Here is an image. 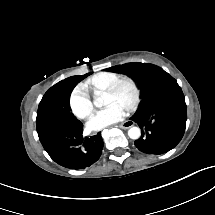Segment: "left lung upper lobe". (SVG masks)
Listing matches in <instances>:
<instances>
[{
    "label": "left lung upper lobe",
    "mask_w": 215,
    "mask_h": 215,
    "mask_svg": "<svg viewBox=\"0 0 215 215\" xmlns=\"http://www.w3.org/2000/svg\"><path fill=\"white\" fill-rule=\"evenodd\" d=\"M107 70L131 75L141 88L142 101L131 118L142 129L135 146L147 154H163L182 139L187 113L183 92L167 72L158 66L128 63Z\"/></svg>",
    "instance_id": "obj_1"
}]
</instances>
